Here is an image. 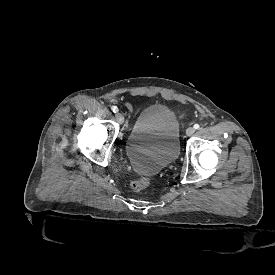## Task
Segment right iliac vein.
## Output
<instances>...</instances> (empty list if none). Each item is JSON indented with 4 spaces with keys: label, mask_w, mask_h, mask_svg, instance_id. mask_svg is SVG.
Listing matches in <instances>:
<instances>
[{
    "label": "right iliac vein",
    "mask_w": 275,
    "mask_h": 275,
    "mask_svg": "<svg viewBox=\"0 0 275 275\" xmlns=\"http://www.w3.org/2000/svg\"><path fill=\"white\" fill-rule=\"evenodd\" d=\"M116 119H117V121L119 123H123L124 122V118H123L122 114H120V113L116 114Z\"/></svg>",
    "instance_id": "right-iliac-vein-1"
}]
</instances>
